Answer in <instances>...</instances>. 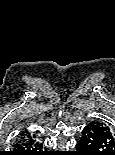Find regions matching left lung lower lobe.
<instances>
[{
	"label": "left lung lower lobe",
	"instance_id": "1",
	"mask_svg": "<svg viewBox=\"0 0 115 155\" xmlns=\"http://www.w3.org/2000/svg\"><path fill=\"white\" fill-rule=\"evenodd\" d=\"M77 155H115V137L104 121L85 126L77 142Z\"/></svg>",
	"mask_w": 115,
	"mask_h": 155
}]
</instances>
